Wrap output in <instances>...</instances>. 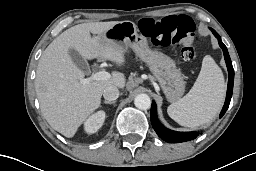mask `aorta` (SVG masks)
<instances>
[{"instance_id":"1","label":"aorta","mask_w":256,"mask_h":171,"mask_svg":"<svg viewBox=\"0 0 256 171\" xmlns=\"http://www.w3.org/2000/svg\"><path fill=\"white\" fill-rule=\"evenodd\" d=\"M134 104L138 109L146 110L151 106V99L147 94H138L134 99Z\"/></svg>"}]
</instances>
